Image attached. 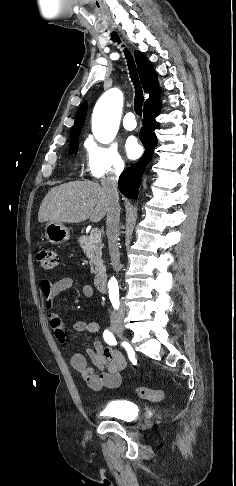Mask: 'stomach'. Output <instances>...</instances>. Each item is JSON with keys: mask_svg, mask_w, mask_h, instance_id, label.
I'll return each mask as SVG.
<instances>
[{"mask_svg": "<svg viewBox=\"0 0 236 486\" xmlns=\"http://www.w3.org/2000/svg\"><path fill=\"white\" fill-rule=\"evenodd\" d=\"M45 237L52 244H62L69 240L70 231L62 223L49 221L45 226Z\"/></svg>", "mask_w": 236, "mask_h": 486, "instance_id": "stomach-1", "label": "stomach"}]
</instances>
